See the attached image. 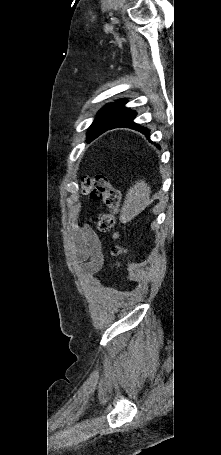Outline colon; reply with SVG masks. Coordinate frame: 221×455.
I'll list each match as a JSON object with an SVG mask.
<instances>
[{"mask_svg":"<svg viewBox=\"0 0 221 455\" xmlns=\"http://www.w3.org/2000/svg\"><path fill=\"white\" fill-rule=\"evenodd\" d=\"M82 193L89 195L93 199L101 200L107 212L100 214L98 218V229L100 231L110 230L116 223V218L119 212L121 193L114 188L107 177L94 176L86 177L82 181ZM125 248L122 245H116L113 248V254L116 257L124 255Z\"/></svg>","mask_w":221,"mask_h":455,"instance_id":"1","label":"colon"}]
</instances>
